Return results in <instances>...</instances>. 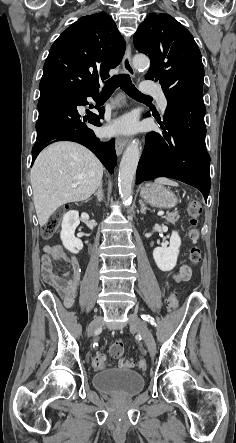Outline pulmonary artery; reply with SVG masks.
Masks as SVG:
<instances>
[{
	"label": "pulmonary artery",
	"instance_id": "1",
	"mask_svg": "<svg viewBox=\"0 0 236 443\" xmlns=\"http://www.w3.org/2000/svg\"><path fill=\"white\" fill-rule=\"evenodd\" d=\"M141 90L143 92H150L151 91L150 89H148L146 87L145 83L141 84ZM157 96H158V101H159V107L164 112L166 110V108H167V100H166V98H165V96H164V94L162 92H158Z\"/></svg>",
	"mask_w": 236,
	"mask_h": 443
}]
</instances>
